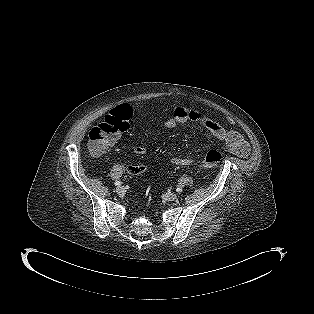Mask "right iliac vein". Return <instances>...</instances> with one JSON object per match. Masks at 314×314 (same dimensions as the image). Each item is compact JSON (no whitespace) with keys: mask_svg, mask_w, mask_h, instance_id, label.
Returning <instances> with one entry per match:
<instances>
[{"mask_svg":"<svg viewBox=\"0 0 314 314\" xmlns=\"http://www.w3.org/2000/svg\"><path fill=\"white\" fill-rule=\"evenodd\" d=\"M116 192H117L118 194H123V193L125 192L124 186H118V187L116 188Z\"/></svg>","mask_w":314,"mask_h":314,"instance_id":"obj_1","label":"right iliac vein"}]
</instances>
